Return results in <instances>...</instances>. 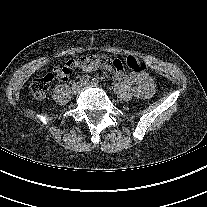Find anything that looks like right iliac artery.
<instances>
[{"mask_svg":"<svg viewBox=\"0 0 207 207\" xmlns=\"http://www.w3.org/2000/svg\"><path fill=\"white\" fill-rule=\"evenodd\" d=\"M88 81H89V76H88V75H83V76L80 78V82H81V84H86Z\"/></svg>","mask_w":207,"mask_h":207,"instance_id":"82829eb1","label":"right iliac artery"}]
</instances>
